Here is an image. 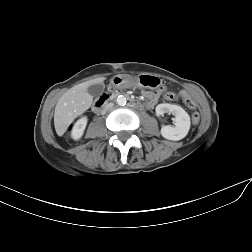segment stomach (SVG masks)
I'll list each match as a JSON object with an SVG mask.
<instances>
[{"instance_id":"obj_1","label":"stomach","mask_w":252,"mask_h":252,"mask_svg":"<svg viewBox=\"0 0 252 252\" xmlns=\"http://www.w3.org/2000/svg\"><path fill=\"white\" fill-rule=\"evenodd\" d=\"M129 82L130 79L124 75H115L111 80V83L116 87L128 84ZM134 84L140 88L149 89H154L158 85L157 78L154 75L147 73H143L137 76L134 79Z\"/></svg>"}]
</instances>
